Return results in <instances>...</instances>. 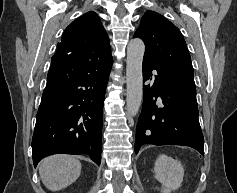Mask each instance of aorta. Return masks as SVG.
<instances>
[{"label": "aorta", "instance_id": "obj_1", "mask_svg": "<svg viewBox=\"0 0 237 193\" xmlns=\"http://www.w3.org/2000/svg\"><path fill=\"white\" fill-rule=\"evenodd\" d=\"M145 44L139 39H132L127 47L126 59V110L129 117H134L141 106L143 96L142 63Z\"/></svg>", "mask_w": 237, "mask_h": 193}]
</instances>
